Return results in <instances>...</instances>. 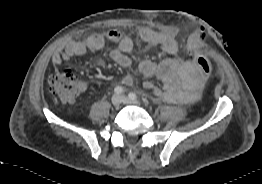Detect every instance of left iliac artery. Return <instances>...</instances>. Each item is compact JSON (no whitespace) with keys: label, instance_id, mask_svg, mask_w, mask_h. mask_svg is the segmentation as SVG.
I'll list each match as a JSON object with an SVG mask.
<instances>
[{"label":"left iliac artery","instance_id":"44dca946","mask_svg":"<svg viewBox=\"0 0 262 184\" xmlns=\"http://www.w3.org/2000/svg\"><path fill=\"white\" fill-rule=\"evenodd\" d=\"M128 96H129L130 99H136L137 98V95L133 92L129 93Z\"/></svg>","mask_w":262,"mask_h":184}]
</instances>
